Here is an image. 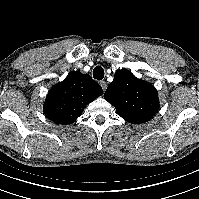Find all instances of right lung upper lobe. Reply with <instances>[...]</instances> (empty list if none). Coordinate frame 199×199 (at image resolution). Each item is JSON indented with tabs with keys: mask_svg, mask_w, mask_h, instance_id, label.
<instances>
[{
	"mask_svg": "<svg viewBox=\"0 0 199 199\" xmlns=\"http://www.w3.org/2000/svg\"><path fill=\"white\" fill-rule=\"evenodd\" d=\"M100 95L102 88L90 75L71 72L49 91L44 113L54 123L66 125L77 119L85 106Z\"/></svg>",
	"mask_w": 199,
	"mask_h": 199,
	"instance_id": "cb5924a9",
	"label": "right lung upper lobe"
}]
</instances>
